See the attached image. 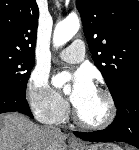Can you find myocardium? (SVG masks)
Listing matches in <instances>:
<instances>
[{
	"mask_svg": "<svg viewBox=\"0 0 139 150\" xmlns=\"http://www.w3.org/2000/svg\"><path fill=\"white\" fill-rule=\"evenodd\" d=\"M95 90L98 91L106 100L108 107L106 118L100 123H88L80 117L76 106L73 108V118L75 123L84 129L103 130L108 128L115 121L117 116V104L113 94L109 90L102 87H98Z\"/></svg>",
	"mask_w": 139,
	"mask_h": 150,
	"instance_id": "1",
	"label": "myocardium"
}]
</instances>
